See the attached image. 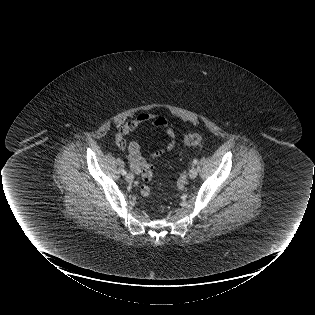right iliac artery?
Returning <instances> with one entry per match:
<instances>
[{
  "label": "right iliac artery",
  "instance_id": "obj_1",
  "mask_svg": "<svg viewBox=\"0 0 315 315\" xmlns=\"http://www.w3.org/2000/svg\"><path fill=\"white\" fill-rule=\"evenodd\" d=\"M127 171L126 170H122V175H126Z\"/></svg>",
  "mask_w": 315,
  "mask_h": 315
}]
</instances>
